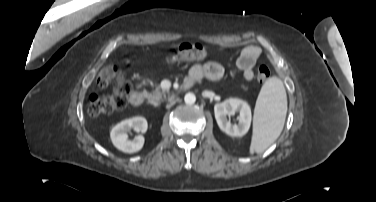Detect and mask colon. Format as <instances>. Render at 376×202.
I'll return each mask as SVG.
<instances>
[{
  "mask_svg": "<svg viewBox=\"0 0 376 202\" xmlns=\"http://www.w3.org/2000/svg\"><path fill=\"white\" fill-rule=\"evenodd\" d=\"M208 56L207 48L200 43H182L167 52L165 60L167 62L175 61H196L203 60ZM127 60V63H130ZM270 77V70L262 64L257 69V79L260 82L266 81ZM98 85L107 87L115 84L111 96L101 97L93 95L88 104V113L91 117H97L103 114H109L117 110H121L128 105L129 95L132 86L128 80L124 78L123 73L115 66L103 68L97 78Z\"/></svg>",
  "mask_w": 376,
  "mask_h": 202,
  "instance_id": "colon-1",
  "label": "colon"
}]
</instances>
